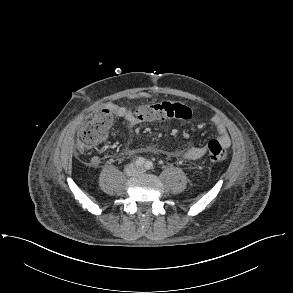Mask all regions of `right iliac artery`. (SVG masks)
<instances>
[{"label":"right iliac artery","instance_id":"1","mask_svg":"<svg viewBox=\"0 0 293 293\" xmlns=\"http://www.w3.org/2000/svg\"><path fill=\"white\" fill-rule=\"evenodd\" d=\"M144 163H145V159L142 158V157H138V158L135 160V164H136L137 166H142V165H144Z\"/></svg>","mask_w":293,"mask_h":293}]
</instances>
